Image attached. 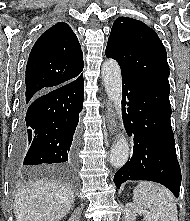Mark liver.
<instances>
[{
  "mask_svg": "<svg viewBox=\"0 0 190 221\" xmlns=\"http://www.w3.org/2000/svg\"><path fill=\"white\" fill-rule=\"evenodd\" d=\"M74 192L67 184L54 181L30 182L15 194L16 221H59L72 207Z\"/></svg>",
  "mask_w": 190,
  "mask_h": 221,
  "instance_id": "liver-1",
  "label": "liver"
}]
</instances>
